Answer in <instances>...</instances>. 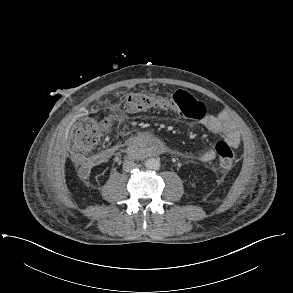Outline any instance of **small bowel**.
<instances>
[{"label": "small bowel", "instance_id": "1", "mask_svg": "<svg viewBox=\"0 0 293 293\" xmlns=\"http://www.w3.org/2000/svg\"><path fill=\"white\" fill-rule=\"evenodd\" d=\"M196 112L199 119V125L202 128L220 135L233 148H237L240 145V133L233 121L208 114L202 103ZM215 158L216 154L211 149L203 151L198 155V159L205 163L211 162Z\"/></svg>", "mask_w": 293, "mask_h": 293}]
</instances>
